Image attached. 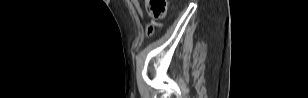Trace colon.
I'll return each instance as SVG.
<instances>
[{"instance_id": "1", "label": "colon", "mask_w": 308, "mask_h": 98, "mask_svg": "<svg viewBox=\"0 0 308 98\" xmlns=\"http://www.w3.org/2000/svg\"><path fill=\"white\" fill-rule=\"evenodd\" d=\"M146 10L152 20L162 19L167 12V1L166 0H146ZM154 28L153 24L149 25L148 30L152 31Z\"/></svg>"}]
</instances>
